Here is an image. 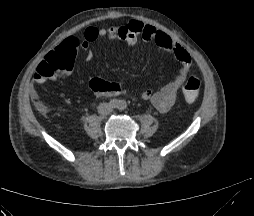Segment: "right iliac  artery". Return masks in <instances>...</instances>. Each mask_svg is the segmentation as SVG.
Here are the masks:
<instances>
[{
	"mask_svg": "<svg viewBox=\"0 0 254 216\" xmlns=\"http://www.w3.org/2000/svg\"><path fill=\"white\" fill-rule=\"evenodd\" d=\"M109 104H110V106H112V107H117L118 101H117L116 99H113V100L110 101Z\"/></svg>",
	"mask_w": 254,
	"mask_h": 216,
	"instance_id": "obj_1",
	"label": "right iliac artery"
}]
</instances>
